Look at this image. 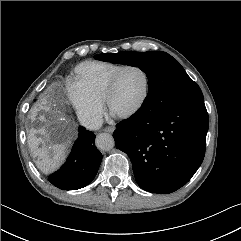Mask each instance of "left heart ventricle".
<instances>
[{
  "label": "left heart ventricle",
  "mask_w": 241,
  "mask_h": 241,
  "mask_svg": "<svg viewBox=\"0 0 241 241\" xmlns=\"http://www.w3.org/2000/svg\"><path fill=\"white\" fill-rule=\"evenodd\" d=\"M145 86L143 73L135 68L127 69L118 78L111 98V109L115 114L131 110L140 100Z\"/></svg>",
  "instance_id": "left-heart-ventricle-1"
}]
</instances>
